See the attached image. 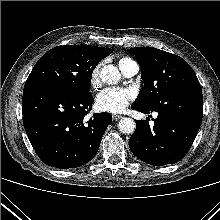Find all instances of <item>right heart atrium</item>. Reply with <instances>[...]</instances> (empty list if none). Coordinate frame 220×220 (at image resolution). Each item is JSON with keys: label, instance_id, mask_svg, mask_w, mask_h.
<instances>
[{"label": "right heart atrium", "instance_id": "right-heart-atrium-1", "mask_svg": "<svg viewBox=\"0 0 220 220\" xmlns=\"http://www.w3.org/2000/svg\"><path fill=\"white\" fill-rule=\"evenodd\" d=\"M100 67V64L97 65L91 72L90 84L93 88H96L100 85Z\"/></svg>", "mask_w": 220, "mask_h": 220}]
</instances>
